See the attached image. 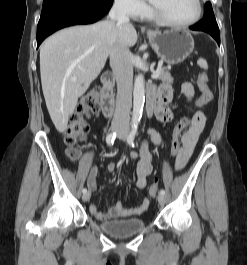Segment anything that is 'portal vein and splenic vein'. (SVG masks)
<instances>
[{"label": "portal vein and splenic vein", "instance_id": "18ae733b", "mask_svg": "<svg viewBox=\"0 0 247 265\" xmlns=\"http://www.w3.org/2000/svg\"><path fill=\"white\" fill-rule=\"evenodd\" d=\"M158 76H159V73L158 72H154L151 77L153 79H156V78H158Z\"/></svg>", "mask_w": 247, "mask_h": 265}]
</instances>
